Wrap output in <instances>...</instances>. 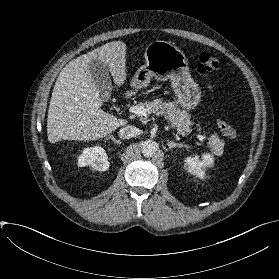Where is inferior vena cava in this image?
I'll return each mask as SVG.
<instances>
[{
  "label": "inferior vena cava",
  "mask_w": 279,
  "mask_h": 279,
  "mask_svg": "<svg viewBox=\"0 0 279 279\" xmlns=\"http://www.w3.org/2000/svg\"><path fill=\"white\" fill-rule=\"evenodd\" d=\"M138 134V128H136L135 126H125L123 128L120 129L118 135L119 137L123 138V139H129L132 137H135Z\"/></svg>",
  "instance_id": "obj_1"
}]
</instances>
